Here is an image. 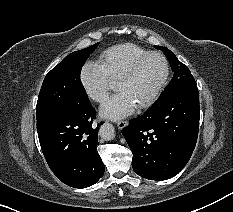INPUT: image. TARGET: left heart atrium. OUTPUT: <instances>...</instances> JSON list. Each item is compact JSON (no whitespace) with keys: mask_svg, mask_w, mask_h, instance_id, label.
Masks as SVG:
<instances>
[{"mask_svg":"<svg viewBox=\"0 0 233 212\" xmlns=\"http://www.w3.org/2000/svg\"><path fill=\"white\" fill-rule=\"evenodd\" d=\"M135 107L127 94L118 92L102 105L100 114L105 118L120 119L130 115Z\"/></svg>","mask_w":233,"mask_h":212,"instance_id":"1","label":"left heart atrium"}]
</instances>
